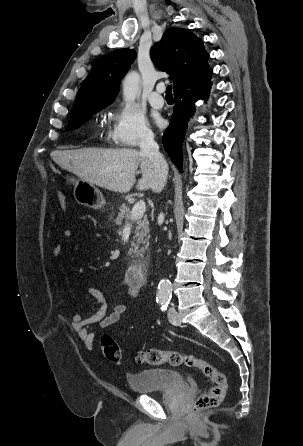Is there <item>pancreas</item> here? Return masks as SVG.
<instances>
[{
    "mask_svg": "<svg viewBox=\"0 0 303 446\" xmlns=\"http://www.w3.org/2000/svg\"><path fill=\"white\" fill-rule=\"evenodd\" d=\"M130 217H131L130 207L127 206L126 204H123L119 209V212L114 221L118 226H122L123 222L125 224L128 223L136 224L133 241L131 242V247L129 249L128 255L136 258L143 257V254L149 245V238H150L149 221L147 217H144L143 219H138L136 221H132ZM141 244L143 246H141Z\"/></svg>",
    "mask_w": 303,
    "mask_h": 446,
    "instance_id": "1",
    "label": "pancreas"
}]
</instances>
